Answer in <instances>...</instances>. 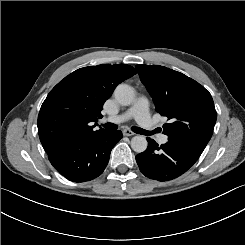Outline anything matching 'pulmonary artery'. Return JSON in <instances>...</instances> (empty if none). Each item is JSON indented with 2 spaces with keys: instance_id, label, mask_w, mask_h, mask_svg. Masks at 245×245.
<instances>
[{
  "instance_id": "obj_1",
  "label": "pulmonary artery",
  "mask_w": 245,
  "mask_h": 245,
  "mask_svg": "<svg viewBox=\"0 0 245 245\" xmlns=\"http://www.w3.org/2000/svg\"><path fill=\"white\" fill-rule=\"evenodd\" d=\"M134 117L138 127L145 133H152L157 128V123L149 116V107L144 102H139L132 109H129L125 114L121 116L108 117L106 121L109 122H121ZM159 142L161 144H168L170 142V135L168 133H161L159 135Z\"/></svg>"
}]
</instances>
